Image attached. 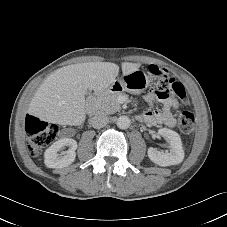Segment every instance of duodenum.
I'll return each instance as SVG.
<instances>
[{"instance_id":"410a0bca","label":"duodenum","mask_w":227,"mask_h":227,"mask_svg":"<svg viewBox=\"0 0 227 227\" xmlns=\"http://www.w3.org/2000/svg\"><path fill=\"white\" fill-rule=\"evenodd\" d=\"M119 90V88L117 86H113L112 87V91H117ZM105 94V91H101V92H96L93 93L87 101V111L89 113H93L96 110L97 107V103L100 100V98Z\"/></svg>"}]
</instances>
